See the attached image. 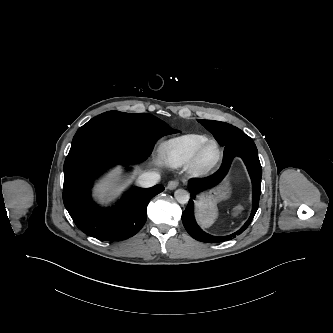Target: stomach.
<instances>
[{"instance_id":"stomach-1","label":"stomach","mask_w":333,"mask_h":333,"mask_svg":"<svg viewBox=\"0 0 333 333\" xmlns=\"http://www.w3.org/2000/svg\"><path fill=\"white\" fill-rule=\"evenodd\" d=\"M229 177L199 196L196 204L197 218L202 226L208 227L217 218V203L230 197Z\"/></svg>"}]
</instances>
